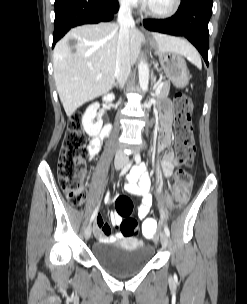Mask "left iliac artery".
<instances>
[{
	"mask_svg": "<svg viewBox=\"0 0 247 304\" xmlns=\"http://www.w3.org/2000/svg\"><path fill=\"white\" fill-rule=\"evenodd\" d=\"M135 160H136L137 164H140V162H141L140 156H137L135 158ZM164 231H165L166 235L169 237L170 236V231H169V228L167 226H164Z\"/></svg>",
	"mask_w": 247,
	"mask_h": 304,
	"instance_id": "44dca946",
	"label": "left iliac artery"
}]
</instances>
